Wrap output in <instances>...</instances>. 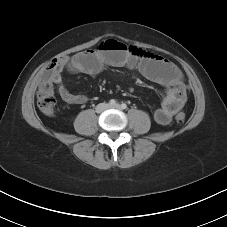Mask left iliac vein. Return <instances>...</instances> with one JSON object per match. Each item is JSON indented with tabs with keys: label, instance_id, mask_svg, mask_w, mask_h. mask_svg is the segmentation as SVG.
Segmentation results:
<instances>
[{
	"label": "left iliac vein",
	"instance_id": "obj_1",
	"mask_svg": "<svg viewBox=\"0 0 227 227\" xmlns=\"http://www.w3.org/2000/svg\"><path fill=\"white\" fill-rule=\"evenodd\" d=\"M109 108L121 109V106L119 104H115V105H110Z\"/></svg>",
	"mask_w": 227,
	"mask_h": 227
}]
</instances>
